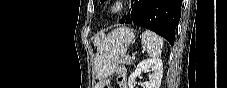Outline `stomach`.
Masks as SVG:
<instances>
[{"mask_svg":"<svg viewBox=\"0 0 227 88\" xmlns=\"http://www.w3.org/2000/svg\"><path fill=\"white\" fill-rule=\"evenodd\" d=\"M133 39L132 29L119 27L101 40L94 61V71L97 77L106 78L115 71L117 63L125 56Z\"/></svg>","mask_w":227,"mask_h":88,"instance_id":"0dacf381","label":"stomach"}]
</instances>
